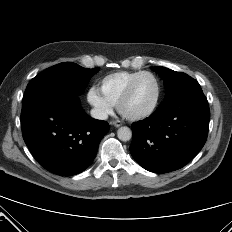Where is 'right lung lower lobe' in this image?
I'll list each match as a JSON object with an SVG mask.
<instances>
[{"label":"right lung lower lobe","mask_w":232,"mask_h":232,"mask_svg":"<svg viewBox=\"0 0 232 232\" xmlns=\"http://www.w3.org/2000/svg\"><path fill=\"white\" fill-rule=\"evenodd\" d=\"M22 104L23 138L42 167L71 176L92 163L109 124L86 115L78 95L45 93Z\"/></svg>","instance_id":"1"}]
</instances>
